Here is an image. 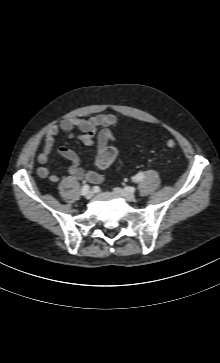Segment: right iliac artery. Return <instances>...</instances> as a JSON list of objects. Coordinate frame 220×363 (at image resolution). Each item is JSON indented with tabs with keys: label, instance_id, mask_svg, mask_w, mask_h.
<instances>
[{
	"label": "right iliac artery",
	"instance_id": "1",
	"mask_svg": "<svg viewBox=\"0 0 220 363\" xmlns=\"http://www.w3.org/2000/svg\"><path fill=\"white\" fill-rule=\"evenodd\" d=\"M89 190H90L89 185H88V184H85V185L82 187L81 194H82L83 196H85V195L89 192Z\"/></svg>",
	"mask_w": 220,
	"mask_h": 363
}]
</instances>
